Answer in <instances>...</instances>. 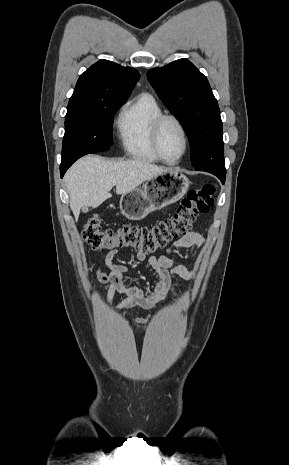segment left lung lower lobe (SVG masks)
Here are the masks:
<instances>
[{
    "mask_svg": "<svg viewBox=\"0 0 289 465\" xmlns=\"http://www.w3.org/2000/svg\"><path fill=\"white\" fill-rule=\"evenodd\" d=\"M215 175H216V176L221 180V182L224 184V182H225V177H226V173H225V174L216 173Z\"/></svg>",
    "mask_w": 289,
    "mask_h": 465,
    "instance_id": "obj_1",
    "label": "left lung lower lobe"
}]
</instances>
